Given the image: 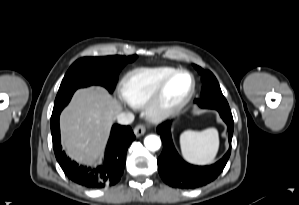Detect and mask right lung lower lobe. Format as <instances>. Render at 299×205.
<instances>
[{
	"label": "right lung lower lobe",
	"instance_id": "98d812e1",
	"mask_svg": "<svg viewBox=\"0 0 299 205\" xmlns=\"http://www.w3.org/2000/svg\"><path fill=\"white\" fill-rule=\"evenodd\" d=\"M68 103L54 108L51 116L53 149L58 163L69 179L91 189H101L116 184L123 174L126 152L135 139L129 126L113 125L105 153V162L96 169L71 161L61 149L59 116Z\"/></svg>",
	"mask_w": 299,
	"mask_h": 205
}]
</instances>
